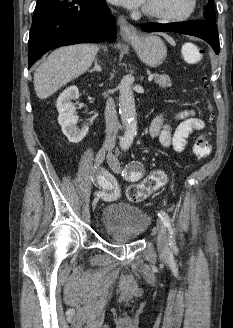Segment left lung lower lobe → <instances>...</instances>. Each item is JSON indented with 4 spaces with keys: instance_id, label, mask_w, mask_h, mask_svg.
I'll use <instances>...</instances> for the list:
<instances>
[{
    "instance_id": "obj_1",
    "label": "left lung lower lobe",
    "mask_w": 233,
    "mask_h": 328,
    "mask_svg": "<svg viewBox=\"0 0 233 328\" xmlns=\"http://www.w3.org/2000/svg\"><path fill=\"white\" fill-rule=\"evenodd\" d=\"M142 30L145 32H177L192 35L205 40L219 54V36L215 23L206 20L176 22V23H144Z\"/></svg>"
}]
</instances>
